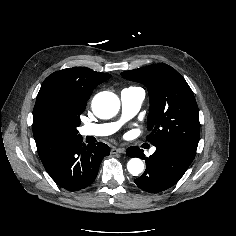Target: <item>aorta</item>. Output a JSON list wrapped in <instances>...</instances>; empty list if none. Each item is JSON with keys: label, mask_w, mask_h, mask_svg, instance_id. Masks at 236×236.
<instances>
[{"label": "aorta", "mask_w": 236, "mask_h": 236, "mask_svg": "<svg viewBox=\"0 0 236 236\" xmlns=\"http://www.w3.org/2000/svg\"><path fill=\"white\" fill-rule=\"evenodd\" d=\"M120 109V100L112 92L104 91L95 95L92 100V110L96 116L103 119L112 118ZM127 169L133 176H138L144 170V164L139 158H132L127 163Z\"/></svg>", "instance_id": "obj_1"}]
</instances>
